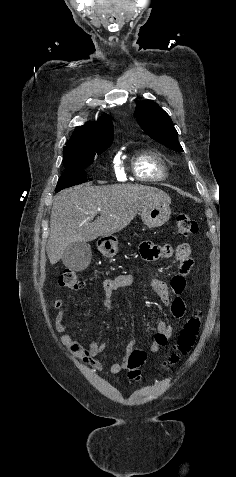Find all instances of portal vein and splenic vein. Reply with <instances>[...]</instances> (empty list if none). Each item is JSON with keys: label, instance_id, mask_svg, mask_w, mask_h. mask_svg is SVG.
Returning a JSON list of instances; mask_svg holds the SVG:
<instances>
[{"label": "portal vein and splenic vein", "instance_id": "obj_1", "mask_svg": "<svg viewBox=\"0 0 236 477\" xmlns=\"http://www.w3.org/2000/svg\"><path fill=\"white\" fill-rule=\"evenodd\" d=\"M95 215H96V213H91V214H90L91 217H93V216H95Z\"/></svg>", "mask_w": 236, "mask_h": 477}]
</instances>
